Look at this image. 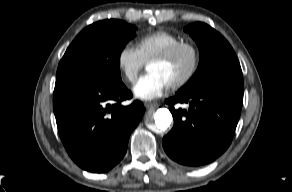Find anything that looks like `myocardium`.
Wrapping results in <instances>:
<instances>
[{
	"label": "myocardium",
	"mask_w": 292,
	"mask_h": 192,
	"mask_svg": "<svg viewBox=\"0 0 292 192\" xmlns=\"http://www.w3.org/2000/svg\"><path fill=\"white\" fill-rule=\"evenodd\" d=\"M183 50H189L191 52L193 58L192 65L182 78L169 85V87L173 90H177L186 86L197 74L201 64V53L198 46L191 41H181L171 46L164 52L152 57L147 62V66L152 62H166L173 59Z\"/></svg>",
	"instance_id": "myocardium-1"
}]
</instances>
